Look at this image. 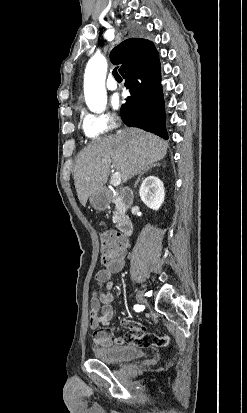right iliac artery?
Masks as SVG:
<instances>
[{
  "instance_id": "right-iliac-artery-1",
  "label": "right iliac artery",
  "mask_w": 247,
  "mask_h": 413,
  "mask_svg": "<svg viewBox=\"0 0 247 413\" xmlns=\"http://www.w3.org/2000/svg\"><path fill=\"white\" fill-rule=\"evenodd\" d=\"M134 310L136 311V312H140L141 310H142V308H141V305H135L134 306Z\"/></svg>"
}]
</instances>
